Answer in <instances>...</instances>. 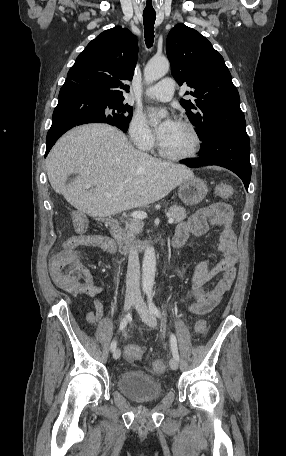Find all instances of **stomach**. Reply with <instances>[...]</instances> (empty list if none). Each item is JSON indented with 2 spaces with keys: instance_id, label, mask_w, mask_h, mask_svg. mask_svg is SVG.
<instances>
[{
  "instance_id": "stomach-1",
  "label": "stomach",
  "mask_w": 286,
  "mask_h": 456,
  "mask_svg": "<svg viewBox=\"0 0 286 456\" xmlns=\"http://www.w3.org/2000/svg\"><path fill=\"white\" fill-rule=\"evenodd\" d=\"M208 188L205 182L200 178H192L180 184L178 195L181 201L193 206L199 204L207 195Z\"/></svg>"
}]
</instances>
